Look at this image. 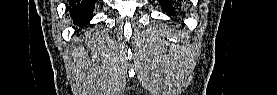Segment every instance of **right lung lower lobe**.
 <instances>
[{
	"instance_id": "right-lung-lower-lobe-1",
	"label": "right lung lower lobe",
	"mask_w": 277,
	"mask_h": 95,
	"mask_svg": "<svg viewBox=\"0 0 277 95\" xmlns=\"http://www.w3.org/2000/svg\"><path fill=\"white\" fill-rule=\"evenodd\" d=\"M96 0H69L70 16L75 25L85 27L93 17Z\"/></svg>"
}]
</instances>
